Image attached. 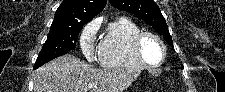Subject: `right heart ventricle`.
Masks as SVG:
<instances>
[{"instance_id":"1","label":"right heart ventricle","mask_w":225,"mask_h":92,"mask_svg":"<svg viewBox=\"0 0 225 92\" xmlns=\"http://www.w3.org/2000/svg\"><path fill=\"white\" fill-rule=\"evenodd\" d=\"M142 31L128 17H118L109 22L100 43V61L106 68H140L132 52V40Z\"/></svg>"}]
</instances>
